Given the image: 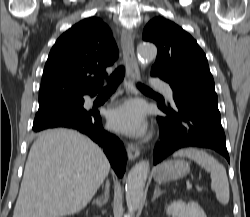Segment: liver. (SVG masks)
<instances>
[{
    "label": "liver",
    "instance_id": "liver-1",
    "mask_svg": "<svg viewBox=\"0 0 250 217\" xmlns=\"http://www.w3.org/2000/svg\"><path fill=\"white\" fill-rule=\"evenodd\" d=\"M110 170L103 151L89 138L46 130L33 143L13 217H62L80 212Z\"/></svg>",
    "mask_w": 250,
    "mask_h": 217
}]
</instances>
